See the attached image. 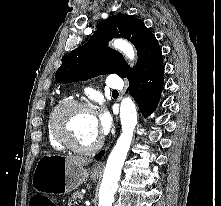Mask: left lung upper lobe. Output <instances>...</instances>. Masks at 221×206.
Wrapping results in <instances>:
<instances>
[{
	"instance_id": "1",
	"label": "left lung upper lobe",
	"mask_w": 221,
	"mask_h": 206,
	"mask_svg": "<svg viewBox=\"0 0 221 206\" xmlns=\"http://www.w3.org/2000/svg\"><path fill=\"white\" fill-rule=\"evenodd\" d=\"M115 37L130 40L138 52V62L131 69L123 56L108 48L107 42ZM163 70V58L158 41L138 18L115 15L104 21L89 41L62 58L55 73L57 82L85 80L99 74L116 73L127 77L130 84Z\"/></svg>"
}]
</instances>
